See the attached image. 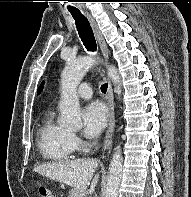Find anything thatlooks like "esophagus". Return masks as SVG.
<instances>
[{"mask_svg": "<svg viewBox=\"0 0 191 197\" xmlns=\"http://www.w3.org/2000/svg\"><path fill=\"white\" fill-rule=\"evenodd\" d=\"M87 16H88L90 25L93 29V32L95 34V37L98 41L100 50L105 58V61L107 62L109 59V50L104 40V37L101 31L99 30L94 19L90 15H87ZM106 99H107V106H108V128H107L105 139H104V146H103L104 152H106L112 145L113 132L115 128L114 96H113L112 85L109 79H108V90L106 94Z\"/></svg>", "mask_w": 191, "mask_h": 197, "instance_id": "obj_1", "label": "esophagus"}]
</instances>
